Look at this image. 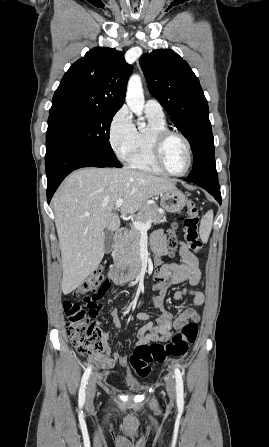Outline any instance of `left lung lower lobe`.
Instances as JSON below:
<instances>
[{
  "label": "left lung lower lobe",
  "mask_w": 269,
  "mask_h": 447,
  "mask_svg": "<svg viewBox=\"0 0 269 447\" xmlns=\"http://www.w3.org/2000/svg\"><path fill=\"white\" fill-rule=\"evenodd\" d=\"M187 182H191L188 178L185 179ZM194 183V182H192ZM205 190H207L210 194L214 196V198L221 204V193H220V186L218 184V181L213 182H197L195 183Z\"/></svg>",
  "instance_id": "obj_1"
}]
</instances>
